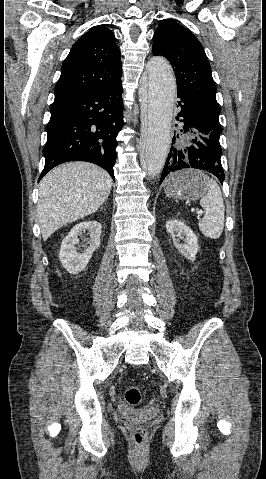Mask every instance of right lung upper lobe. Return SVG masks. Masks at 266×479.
<instances>
[{
    "label": "right lung upper lobe",
    "instance_id": "obj_1",
    "mask_svg": "<svg viewBox=\"0 0 266 479\" xmlns=\"http://www.w3.org/2000/svg\"><path fill=\"white\" fill-rule=\"evenodd\" d=\"M120 50L114 34L97 26L80 37L65 59L55 96L90 90L121 81Z\"/></svg>",
    "mask_w": 266,
    "mask_h": 479
}]
</instances>
